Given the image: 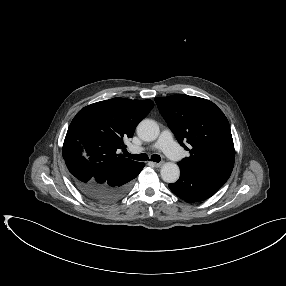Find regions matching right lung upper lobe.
<instances>
[{
	"label": "right lung upper lobe",
	"instance_id": "1",
	"mask_svg": "<svg viewBox=\"0 0 286 286\" xmlns=\"http://www.w3.org/2000/svg\"><path fill=\"white\" fill-rule=\"evenodd\" d=\"M152 100L113 98L86 106L72 120L63 144V155L74 152L101 178L114 177L135 167L118 154L124 139L133 136L139 121L153 108Z\"/></svg>",
	"mask_w": 286,
	"mask_h": 286
}]
</instances>
